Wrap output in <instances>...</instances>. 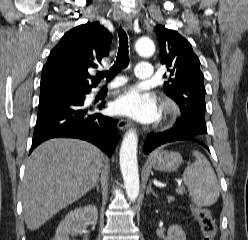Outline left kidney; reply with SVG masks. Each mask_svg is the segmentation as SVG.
Returning <instances> with one entry per match:
<instances>
[{
  "mask_svg": "<svg viewBox=\"0 0 248 240\" xmlns=\"http://www.w3.org/2000/svg\"><path fill=\"white\" fill-rule=\"evenodd\" d=\"M165 240H186V235L179 225H172L168 229Z\"/></svg>",
  "mask_w": 248,
  "mask_h": 240,
  "instance_id": "1",
  "label": "left kidney"
}]
</instances>
